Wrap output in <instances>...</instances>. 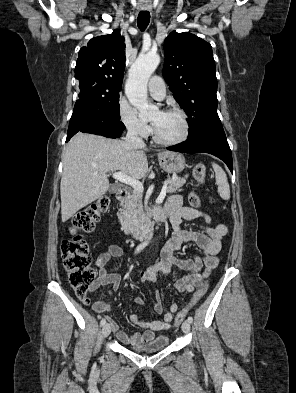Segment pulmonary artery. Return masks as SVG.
I'll return each instance as SVG.
<instances>
[{
    "label": "pulmonary artery",
    "instance_id": "pulmonary-artery-1",
    "mask_svg": "<svg viewBox=\"0 0 296 393\" xmlns=\"http://www.w3.org/2000/svg\"><path fill=\"white\" fill-rule=\"evenodd\" d=\"M150 94L157 100H162L166 95V86L160 76H153L148 83Z\"/></svg>",
    "mask_w": 296,
    "mask_h": 393
}]
</instances>
